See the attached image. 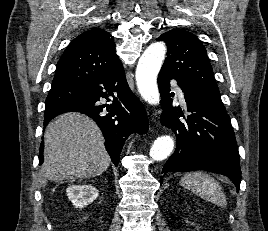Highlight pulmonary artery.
Wrapping results in <instances>:
<instances>
[{"instance_id": "1", "label": "pulmonary artery", "mask_w": 268, "mask_h": 231, "mask_svg": "<svg viewBox=\"0 0 268 231\" xmlns=\"http://www.w3.org/2000/svg\"><path fill=\"white\" fill-rule=\"evenodd\" d=\"M176 93L178 95V97L183 101L184 100V93L182 91V89L180 87H176Z\"/></svg>"}]
</instances>
